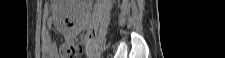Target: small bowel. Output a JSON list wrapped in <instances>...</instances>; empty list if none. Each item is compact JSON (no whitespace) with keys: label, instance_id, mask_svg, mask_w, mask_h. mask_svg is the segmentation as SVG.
Wrapping results in <instances>:
<instances>
[{"label":"small bowel","instance_id":"c3829d8e","mask_svg":"<svg viewBox=\"0 0 225 58\" xmlns=\"http://www.w3.org/2000/svg\"><path fill=\"white\" fill-rule=\"evenodd\" d=\"M52 25L53 19L47 18L44 29L45 40L43 41L42 50L49 58H56L57 57L56 54L58 53V51L61 52L63 47L68 44L77 43V38H76V31L66 32L64 43L58 49L56 43L52 40V37L49 33V29L51 28Z\"/></svg>","mask_w":225,"mask_h":58}]
</instances>
